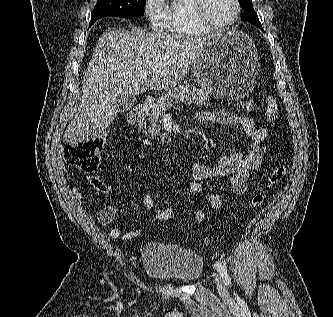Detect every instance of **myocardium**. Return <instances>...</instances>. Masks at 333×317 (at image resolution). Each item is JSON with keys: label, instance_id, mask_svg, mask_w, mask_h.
Segmentation results:
<instances>
[{"label": "myocardium", "instance_id": "f54148a6", "mask_svg": "<svg viewBox=\"0 0 333 317\" xmlns=\"http://www.w3.org/2000/svg\"><path fill=\"white\" fill-rule=\"evenodd\" d=\"M233 2L235 4V13L229 20L222 23H215L208 19L206 15V0H191V14L195 23L205 30L216 31L220 29H225L234 24L241 13L240 1L233 0Z\"/></svg>", "mask_w": 333, "mask_h": 317}]
</instances>
